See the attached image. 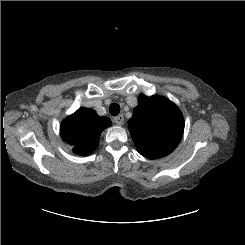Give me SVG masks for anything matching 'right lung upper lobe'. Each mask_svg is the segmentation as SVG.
<instances>
[{
    "mask_svg": "<svg viewBox=\"0 0 245 245\" xmlns=\"http://www.w3.org/2000/svg\"><path fill=\"white\" fill-rule=\"evenodd\" d=\"M111 125L109 118L100 117L91 109L80 108L63 120L60 134L73 146L74 153L86 156L97 148L101 132Z\"/></svg>",
    "mask_w": 245,
    "mask_h": 245,
    "instance_id": "cb5924a9",
    "label": "right lung upper lobe"
}]
</instances>
